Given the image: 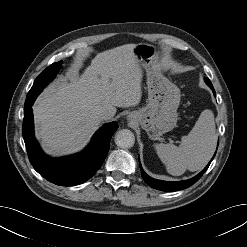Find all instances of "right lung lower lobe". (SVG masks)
<instances>
[{"mask_svg": "<svg viewBox=\"0 0 247 247\" xmlns=\"http://www.w3.org/2000/svg\"><path fill=\"white\" fill-rule=\"evenodd\" d=\"M38 92H29L24 105L22 133L30 163L48 181L60 186H74L91 178L101 167L109 151L116 122L104 125L82 152L63 158H50L42 152L33 134L32 104Z\"/></svg>", "mask_w": 247, "mask_h": 247, "instance_id": "obj_1", "label": "right lung lower lobe"}]
</instances>
